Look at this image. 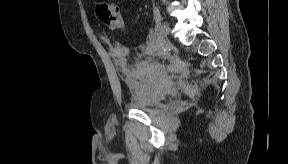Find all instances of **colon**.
I'll use <instances>...</instances> for the list:
<instances>
[{
    "label": "colon",
    "mask_w": 288,
    "mask_h": 164,
    "mask_svg": "<svg viewBox=\"0 0 288 164\" xmlns=\"http://www.w3.org/2000/svg\"><path fill=\"white\" fill-rule=\"evenodd\" d=\"M98 17L110 30L120 32L125 23L117 5L104 4L98 8Z\"/></svg>",
    "instance_id": "obj_1"
}]
</instances>
